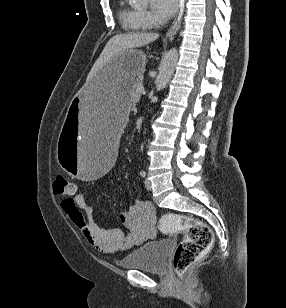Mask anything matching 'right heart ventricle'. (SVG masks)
I'll return each instance as SVG.
<instances>
[{"mask_svg":"<svg viewBox=\"0 0 286 308\" xmlns=\"http://www.w3.org/2000/svg\"><path fill=\"white\" fill-rule=\"evenodd\" d=\"M118 16L123 29L133 32H141L149 28L142 18V11L131 7L126 0H121Z\"/></svg>","mask_w":286,"mask_h":308,"instance_id":"e07e8e85","label":"right heart ventricle"}]
</instances>
